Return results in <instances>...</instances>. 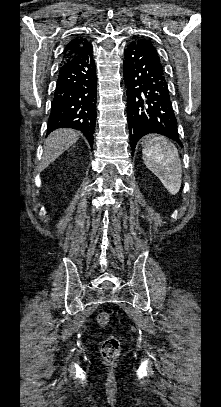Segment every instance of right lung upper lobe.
I'll return each instance as SVG.
<instances>
[{
    "label": "right lung upper lobe",
    "instance_id": "cb5924a9",
    "mask_svg": "<svg viewBox=\"0 0 221 407\" xmlns=\"http://www.w3.org/2000/svg\"><path fill=\"white\" fill-rule=\"evenodd\" d=\"M87 44L88 41L82 37L72 39L64 49L62 62L81 53Z\"/></svg>",
    "mask_w": 221,
    "mask_h": 407
}]
</instances>
